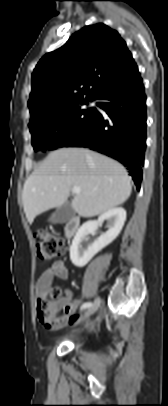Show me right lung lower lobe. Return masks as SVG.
<instances>
[{
    "label": "right lung lower lobe",
    "mask_w": 168,
    "mask_h": 406,
    "mask_svg": "<svg viewBox=\"0 0 168 406\" xmlns=\"http://www.w3.org/2000/svg\"><path fill=\"white\" fill-rule=\"evenodd\" d=\"M96 99L104 113L63 147H85L126 166L140 189L146 148V95L139 72L107 89Z\"/></svg>",
    "instance_id": "obj_1"
}]
</instances>
